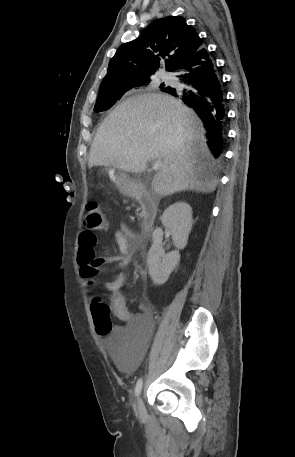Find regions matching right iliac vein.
Instances as JSON below:
<instances>
[{"label":"right iliac vein","mask_w":295,"mask_h":457,"mask_svg":"<svg viewBox=\"0 0 295 457\" xmlns=\"http://www.w3.org/2000/svg\"><path fill=\"white\" fill-rule=\"evenodd\" d=\"M137 410L139 413L144 412V404H143V401L141 398H138V400H137Z\"/></svg>","instance_id":"1"}]
</instances>
